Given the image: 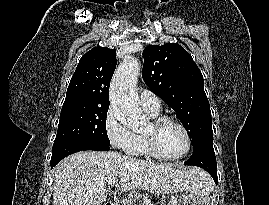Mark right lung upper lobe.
Returning a JSON list of instances; mask_svg holds the SVG:
<instances>
[{"mask_svg":"<svg viewBox=\"0 0 269 205\" xmlns=\"http://www.w3.org/2000/svg\"><path fill=\"white\" fill-rule=\"evenodd\" d=\"M115 68V49L95 47L88 51L70 80L63 107L109 106V86Z\"/></svg>","mask_w":269,"mask_h":205,"instance_id":"cb5924a9","label":"right lung upper lobe"}]
</instances>
